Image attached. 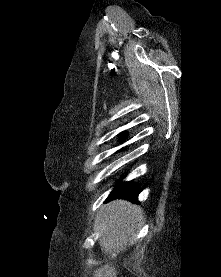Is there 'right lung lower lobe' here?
<instances>
[{
    "mask_svg": "<svg viewBox=\"0 0 221 277\" xmlns=\"http://www.w3.org/2000/svg\"><path fill=\"white\" fill-rule=\"evenodd\" d=\"M139 192L140 189L138 188L137 184L131 182H122L114 188L106 201L116 198L137 201Z\"/></svg>",
    "mask_w": 221,
    "mask_h": 277,
    "instance_id": "obj_1",
    "label": "right lung lower lobe"
}]
</instances>
